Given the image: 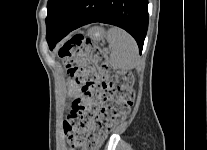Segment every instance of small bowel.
Returning <instances> with one entry per match:
<instances>
[{"mask_svg":"<svg viewBox=\"0 0 207 150\" xmlns=\"http://www.w3.org/2000/svg\"><path fill=\"white\" fill-rule=\"evenodd\" d=\"M70 94L73 97H79L81 95L79 85L76 82L71 84Z\"/></svg>","mask_w":207,"mask_h":150,"instance_id":"small-bowel-1","label":"small bowel"}]
</instances>
